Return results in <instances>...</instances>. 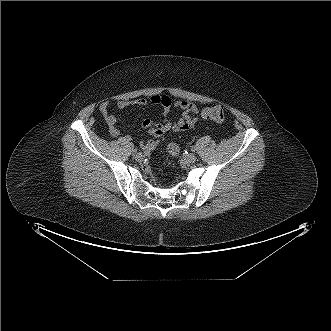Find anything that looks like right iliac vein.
Listing matches in <instances>:
<instances>
[{
	"label": "right iliac vein",
	"instance_id": "63e3f726",
	"mask_svg": "<svg viewBox=\"0 0 331 331\" xmlns=\"http://www.w3.org/2000/svg\"><path fill=\"white\" fill-rule=\"evenodd\" d=\"M136 161H142L144 159V155L141 152L135 154Z\"/></svg>",
	"mask_w": 331,
	"mask_h": 331
}]
</instances>
